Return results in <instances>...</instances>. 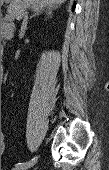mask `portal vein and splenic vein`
Here are the masks:
<instances>
[{
    "instance_id": "1",
    "label": "portal vein and splenic vein",
    "mask_w": 109,
    "mask_h": 170,
    "mask_svg": "<svg viewBox=\"0 0 109 170\" xmlns=\"http://www.w3.org/2000/svg\"><path fill=\"white\" fill-rule=\"evenodd\" d=\"M5 18H6L7 21H12V20H14L15 17H14V14L11 11H8Z\"/></svg>"
}]
</instances>
